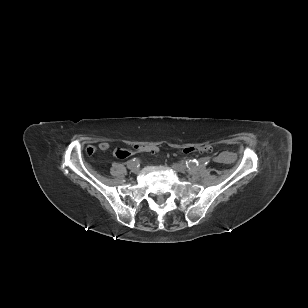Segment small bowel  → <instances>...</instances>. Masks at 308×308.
I'll return each instance as SVG.
<instances>
[{
    "label": "small bowel",
    "mask_w": 308,
    "mask_h": 308,
    "mask_svg": "<svg viewBox=\"0 0 308 308\" xmlns=\"http://www.w3.org/2000/svg\"><path fill=\"white\" fill-rule=\"evenodd\" d=\"M98 148L102 151H105L109 148V144L107 142H100L98 144ZM94 149V148H93ZM228 157V153H222L219 156H217L215 159L218 162H222L224 161V159H226Z\"/></svg>",
    "instance_id": "c3829d8e"
}]
</instances>
